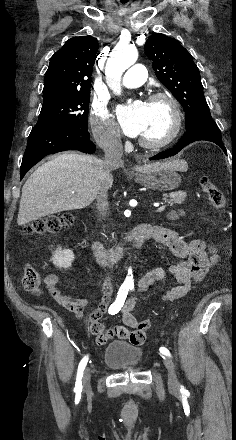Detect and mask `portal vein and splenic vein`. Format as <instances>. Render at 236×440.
Segmentation results:
<instances>
[{"label": "portal vein and splenic vein", "instance_id": "portal-vein-and-splenic-vein-1", "mask_svg": "<svg viewBox=\"0 0 236 440\" xmlns=\"http://www.w3.org/2000/svg\"><path fill=\"white\" fill-rule=\"evenodd\" d=\"M165 210V205H162L156 209V212H162Z\"/></svg>", "mask_w": 236, "mask_h": 440}]
</instances>
